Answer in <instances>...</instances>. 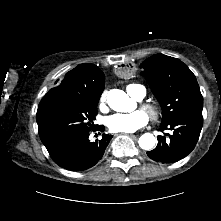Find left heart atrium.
Returning a JSON list of instances; mask_svg holds the SVG:
<instances>
[{
    "label": "left heart atrium",
    "mask_w": 221,
    "mask_h": 221,
    "mask_svg": "<svg viewBox=\"0 0 221 221\" xmlns=\"http://www.w3.org/2000/svg\"><path fill=\"white\" fill-rule=\"evenodd\" d=\"M148 116L145 112L137 110L131 113H117L109 116L106 120L108 129L117 133H132L146 126Z\"/></svg>",
    "instance_id": "obj_1"
}]
</instances>
